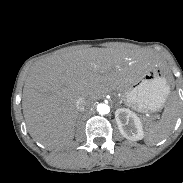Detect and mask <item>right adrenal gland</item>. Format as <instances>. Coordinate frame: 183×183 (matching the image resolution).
<instances>
[{
	"mask_svg": "<svg viewBox=\"0 0 183 183\" xmlns=\"http://www.w3.org/2000/svg\"><path fill=\"white\" fill-rule=\"evenodd\" d=\"M81 115H82V113H79V115H78V118H79V119H80Z\"/></svg>",
	"mask_w": 183,
	"mask_h": 183,
	"instance_id": "obj_1",
	"label": "right adrenal gland"
}]
</instances>
